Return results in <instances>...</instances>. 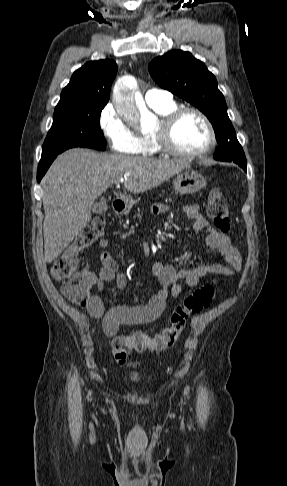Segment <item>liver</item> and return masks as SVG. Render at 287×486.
I'll list each match as a JSON object with an SVG mask.
<instances>
[{"mask_svg": "<svg viewBox=\"0 0 287 486\" xmlns=\"http://www.w3.org/2000/svg\"><path fill=\"white\" fill-rule=\"evenodd\" d=\"M185 160H156L75 148L60 154L45 174L44 255L56 259L91 220L95 199L113 182L142 193L188 167Z\"/></svg>", "mask_w": 287, "mask_h": 486, "instance_id": "1", "label": "liver"}]
</instances>
